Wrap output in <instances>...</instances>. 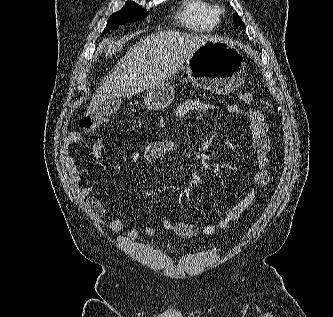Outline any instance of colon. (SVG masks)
Returning <instances> with one entry per match:
<instances>
[{
  "mask_svg": "<svg viewBox=\"0 0 333 317\" xmlns=\"http://www.w3.org/2000/svg\"><path fill=\"white\" fill-rule=\"evenodd\" d=\"M238 97L246 104H251L254 101L252 93L247 91L240 92ZM103 122L104 119L102 117L85 116L80 121V127L87 132H91L100 127Z\"/></svg>",
  "mask_w": 333,
  "mask_h": 317,
  "instance_id": "5ec220e1",
  "label": "colon"
}]
</instances>
